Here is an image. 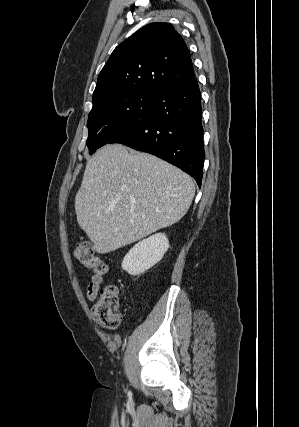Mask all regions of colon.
<instances>
[{
    "mask_svg": "<svg viewBox=\"0 0 299 427\" xmlns=\"http://www.w3.org/2000/svg\"><path fill=\"white\" fill-rule=\"evenodd\" d=\"M74 257L84 268L96 274H104L107 271L106 263L93 253L87 242L81 241L75 245ZM120 308L118 290L115 286L109 285L95 302L92 309L93 317L102 328L113 330L120 324Z\"/></svg>",
    "mask_w": 299,
    "mask_h": 427,
    "instance_id": "1",
    "label": "colon"
}]
</instances>
